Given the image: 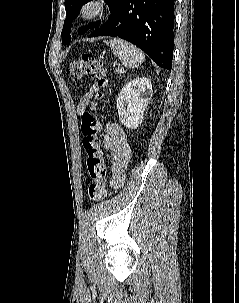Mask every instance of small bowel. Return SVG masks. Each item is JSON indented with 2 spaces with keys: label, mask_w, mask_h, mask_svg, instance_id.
Here are the masks:
<instances>
[{
  "label": "small bowel",
  "mask_w": 239,
  "mask_h": 303,
  "mask_svg": "<svg viewBox=\"0 0 239 303\" xmlns=\"http://www.w3.org/2000/svg\"><path fill=\"white\" fill-rule=\"evenodd\" d=\"M95 90V86H92L88 94L82 99L79 105L80 111L84 110L86 102L92 97ZM102 147L112 155L110 186L113 189H118L123 186L126 180V169L132 153L130 141L119 125L109 124L102 138Z\"/></svg>",
  "instance_id": "obj_1"
}]
</instances>
